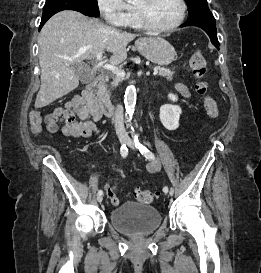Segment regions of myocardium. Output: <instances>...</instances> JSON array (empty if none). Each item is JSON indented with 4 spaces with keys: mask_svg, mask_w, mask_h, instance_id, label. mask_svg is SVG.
Masks as SVG:
<instances>
[{
    "mask_svg": "<svg viewBox=\"0 0 261 273\" xmlns=\"http://www.w3.org/2000/svg\"><path fill=\"white\" fill-rule=\"evenodd\" d=\"M145 1L149 2L150 0H145ZM178 3L180 5V9H181L179 18L177 19V21L175 23H173L172 25L167 26V27L154 26L151 23L145 8L135 6V10H136V13H137V16H138V19H139V22H140L142 28H144L147 31L153 32V33H167V32L175 30L177 27H179L184 22V19L186 16V11H187V5L185 3V0H178Z\"/></svg>",
    "mask_w": 261,
    "mask_h": 273,
    "instance_id": "myocardium-1",
    "label": "myocardium"
}]
</instances>
